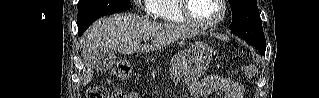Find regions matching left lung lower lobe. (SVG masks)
Returning a JSON list of instances; mask_svg holds the SVG:
<instances>
[{
	"instance_id": "1",
	"label": "left lung lower lobe",
	"mask_w": 319,
	"mask_h": 98,
	"mask_svg": "<svg viewBox=\"0 0 319 98\" xmlns=\"http://www.w3.org/2000/svg\"><path fill=\"white\" fill-rule=\"evenodd\" d=\"M258 51L263 55L265 53V49L257 48Z\"/></svg>"
}]
</instances>
